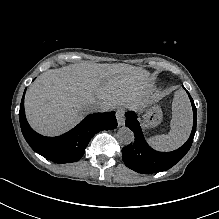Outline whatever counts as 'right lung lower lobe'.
<instances>
[{"mask_svg":"<svg viewBox=\"0 0 219 219\" xmlns=\"http://www.w3.org/2000/svg\"><path fill=\"white\" fill-rule=\"evenodd\" d=\"M25 94V92H24ZM19 120L24 138L31 148L55 163H70L81 159L90 139L101 130H112L117 126L115 112L88 115L75 128L58 137L42 136L29 126L22 97Z\"/></svg>","mask_w":219,"mask_h":219,"instance_id":"98d812e1","label":"right lung lower lobe"}]
</instances>
